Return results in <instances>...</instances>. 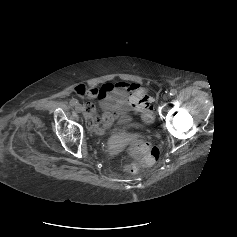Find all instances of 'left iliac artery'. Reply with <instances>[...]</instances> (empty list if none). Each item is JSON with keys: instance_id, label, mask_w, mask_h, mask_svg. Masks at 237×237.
<instances>
[{"instance_id": "1", "label": "left iliac artery", "mask_w": 237, "mask_h": 237, "mask_svg": "<svg viewBox=\"0 0 237 237\" xmlns=\"http://www.w3.org/2000/svg\"><path fill=\"white\" fill-rule=\"evenodd\" d=\"M177 94V90L176 89H171L170 90V95L171 96H174V95H176Z\"/></svg>"}]
</instances>
